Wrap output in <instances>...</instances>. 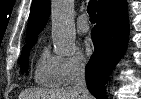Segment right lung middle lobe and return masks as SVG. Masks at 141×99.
Returning a JSON list of instances; mask_svg holds the SVG:
<instances>
[{
    "label": "right lung middle lobe",
    "mask_w": 141,
    "mask_h": 99,
    "mask_svg": "<svg viewBox=\"0 0 141 99\" xmlns=\"http://www.w3.org/2000/svg\"><path fill=\"white\" fill-rule=\"evenodd\" d=\"M35 43H27L22 49L21 53V72H26L28 69V57H29V49L30 46H33Z\"/></svg>",
    "instance_id": "right-lung-middle-lobe-1"
}]
</instances>
